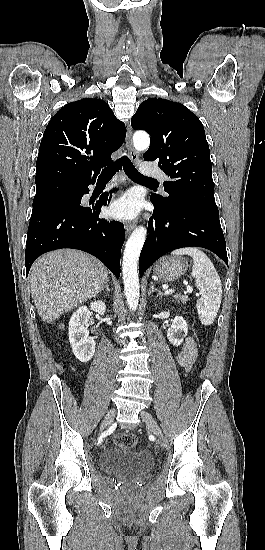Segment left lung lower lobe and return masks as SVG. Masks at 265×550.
Instances as JSON below:
<instances>
[{"label": "left lung lower lobe", "mask_w": 265, "mask_h": 550, "mask_svg": "<svg viewBox=\"0 0 265 550\" xmlns=\"http://www.w3.org/2000/svg\"><path fill=\"white\" fill-rule=\"evenodd\" d=\"M151 202L154 211L148 222V238L140 253V276L165 253L183 247L206 248L228 265L219 213L190 203L164 208Z\"/></svg>", "instance_id": "obj_1"}]
</instances>
